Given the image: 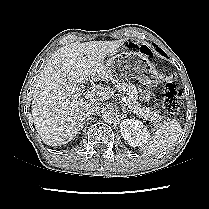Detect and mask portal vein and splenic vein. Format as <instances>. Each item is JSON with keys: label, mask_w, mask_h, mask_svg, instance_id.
I'll return each mask as SVG.
<instances>
[{"label": "portal vein and splenic vein", "mask_w": 209, "mask_h": 209, "mask_svg": "<svg viewBox=\"0 0 209 209\" xmlns=\"http://www.w3.org/2000/svg\"><path fill=\"white\" fill-rule=\"evenodd\" d=\"M85 97L87 99L89 98H94L95 97V91L94 90H91V91H87L86 94H85ZM123 102H127V98L126 97H123Z\"/></svg>", "instance_id": "1"}]
</instances>
